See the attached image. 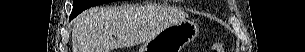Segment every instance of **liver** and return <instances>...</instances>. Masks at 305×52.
Here are the masks:
<instances>
[{
	"mask_svg": "<svg viewBox=\"0 0 305 52\" xmlns=\"http://www.w3.org/2000/svg\"><path fill=\"white\" fill-rule=\"evenodd\" d=\"M160 31L149 27L143 7H93L74 20L72 50L111 52L117 47L149 41Z\"/></svg>",
	"mask_w": 305,
	"mask_h": 52,
	"instance_id": "liver-1",
	"label": "liver"
}]
</instances>
